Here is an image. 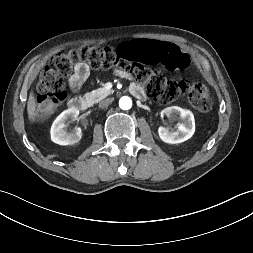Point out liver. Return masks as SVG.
<instances>
[{"mask_svg":"<svg viewBox=\"0 0 253 253\" xmlns=\"http://www.w3.org/2000/svg\"><path fill=\"white\" fill-rule=\"evenodd\" d=\"M27 113L30 121L36 116V101L32 92L29 94L27 102Z\"/></svg>","mask_w":253,"mask_h":253,"instance_id":"obj_1","label":"liver"}]
</instances>
